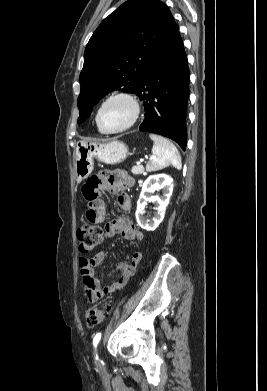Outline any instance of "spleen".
Returning <instances> with one entry per match:
<instances>
[{"label": "spleen", "mask_w": 267, "mask_h": 391, "mask_svg": "<svg viewBox=\"0 0 267 391\" xmlns=\"http://www.w3.org/2000/svg\"><path fill=\"white\" fill-rule=\"evenodd\" d=\"M149 137L154 142L152 148L153 158L147 163L146 171L152 172L161 170L170 164L180 170L182 168V163L176 146L162 136L150 134Z\"/></svg>", "instance_id": "1"}]
</instances>
